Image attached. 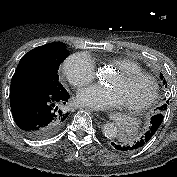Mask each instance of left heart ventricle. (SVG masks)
<instances>
[{"mask_svg":"<svg viewBox=\"0 0 177 177\" xmlns=\"http://www.w3.org/2000/svg\"><path fill=\"white\" fill-rule=\"evenodd\" d=\"M109 86L116 89L122 97L123 104H136L144 100L151 91V85L144 79L124 80L115 76Z\"/></svg>","mask_w":177,"mask_h":177,"instance_id":"obj_1","label":"left heart ventricle"}]
</instances>
